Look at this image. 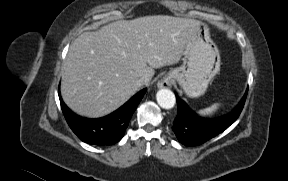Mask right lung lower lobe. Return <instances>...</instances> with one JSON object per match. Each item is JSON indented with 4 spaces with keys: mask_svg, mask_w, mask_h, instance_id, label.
Masks as SVG:
<instances>
[{
    "mask_svg": "<svg viewBox=\"0 0 288 181\" xmlns=\"http://www.w3.org/2000/svg\"><path fill=\"white\" fill-rule=\"evenodd\" d=\"M145 92L146 89H143L118 110L98 119L83 118L73 113L63 102L60 92L59 99L68 125L80 140L88 144L108 146L122 139Z\"/></svg>",
    "mask_w": 288,
    "mask_h": 181,
    "instance_id": "obj_1",
    "label": "right lung lower lobe"
}]
</instances>
